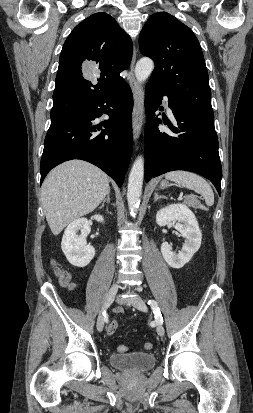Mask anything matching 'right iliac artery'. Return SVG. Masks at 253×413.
Instances as JSON below:
<instances>
[{
    "label": "right iliac artery",
    "mask_w": 253,
    "mask_h": 413,
    "mask_svg": "<svg viewBox=\"0 0 253 413\" xmlns=\"http://www.w3.org/2000/svg\"><path fill=\"white\" fill-rule=\"evenodd\" d=\"M103 315H104V316L106 315V311H104Z\"/></svg>",
    "instance_id": "right-iliac-artery-1"
}]
</instances>
